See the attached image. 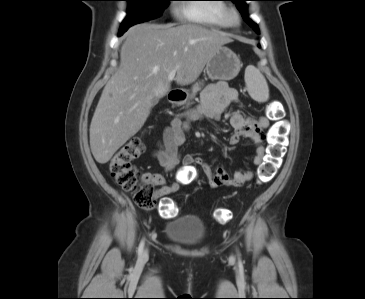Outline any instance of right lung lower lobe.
<instances>
[{
  "label": "right lung lower lobe",
  "instance_id": "98d812e1",
  "mask_svg": "<svg viewBox=\"0 0 365 299\" xmlns=\"http://www.w3.org/2000/svg\"><path fill=\"white\" fill-rule=\"evenodd\" d=\"M131 27V26H130ZM129 27H121L120 30H119V33L118 35L121 36L125 31H127Z\"/></svg>",
  "mask_w": 365,
  "mask_h": 299
}]
</instances>
